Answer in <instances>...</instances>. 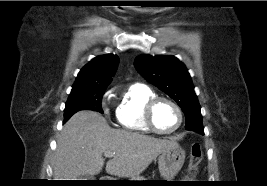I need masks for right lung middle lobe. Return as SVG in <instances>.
Listing matches in <instances>:
<instances>
[{
	"mask_svg": "<svg viewBox=\"0 0 267 186\" xmlns=\"http://www.w3.org/2000/svg\"><path fill=\"white\" fill-rule=\"evenodd\" d=\"M104 91L105 88L71 91L64 110V122L80 110H92L103 113L101 100Z\"/></svg>",
	"mask_w": 267,
	"mask_h": 186,
	"instance_id": "dd1d6c3e",
	"label": "right lung middle lobe"
}]
</instances>
